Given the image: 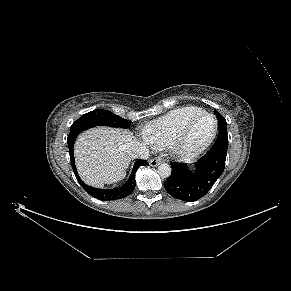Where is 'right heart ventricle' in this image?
Returning <instances> with one entry per match:
<instances>
[{
    "instance_id": "obj_1",
    "label": "right heart ventricle",
    "mask_w": 291,
    "mask_h": 291,
    "mask_svg": "<svg viewBox=\"0 0 291 291\" xmlns=\"http://www.w3.org/2000/svg\"><path fill=\"white\" fill-rule=\"evenodd\" d=\"M204 112L203 109L195 106L174 109L146 125L143 136L155 148L169 146L191 119Z\"/></svg>"
}]
</instances>
